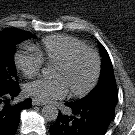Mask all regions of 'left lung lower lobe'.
<instances>
[{
    "label": "left lung lower lobe",
    "instance_id": "obj_1",
    "mask_svg": "<svg viewBox=\"0 0 135 135\" xmlns=\"http://www.w3.org/2000/svg\"><path fill=\"white\" fill-rule=\"evenodd\" d=\"M116 104L109 100L66 103L71 115L59 113L55 124L50 126V134L104 135L114 117Z\"/></svg>",
    "mask_w": 135,
    "mask_h": 135
}]
</instances>
